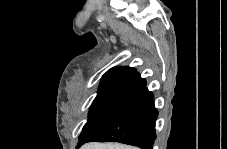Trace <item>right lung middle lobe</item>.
<instances>
[{
	"mask_svg": "<svg viewBox=\"0 0 227 149\" xmlns=\"http://www.w3.org/2000/svg\"><path fill=\"white\" fill-rule=\"evenodd\" d=\"M140 90L110 87L99 90L88 114L87 123L79 136L78 147L86 143L87 136L117 117L137 96Z\"/></svg>",
	"mask_w": 227,
	"mask_h": 149,
	"instance_id": "dd1d6c3e",
	"label": "right lung middle lobe"
}]
</instances>
